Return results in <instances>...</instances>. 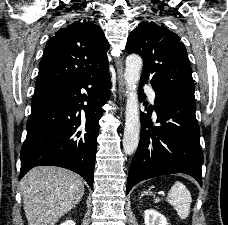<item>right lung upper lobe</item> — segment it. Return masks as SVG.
<instances>
[{
	"label": "right lung upper lobe",
	"mask_w": 228,
	"mask_h": 225,
	"mask_svg": "<svg viewBox=\"0 0 228 225\" xmlns=\"http://www.w3.org/2000/svg\"><path fill=\"white\" fill-rule=\"evenodd\" d=\"M108 49L102 29L89 20L60 29L46 44L35 90L71 85L108 68Z\"/></svg>",
	"instance_id": "cb5924a9"
}]
</instances>
